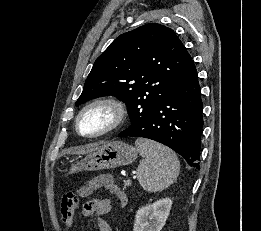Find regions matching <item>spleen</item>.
<instances>
[{"instance_id":"spleen-1","label":"spleen","mask_w":261,"mask_h":231,"mask_svg":"<svg viewBox=\"0 0 261 231\" xmlns=\"http://www.w3.org/2000/svg\"><path fill=\"white\" fill-rule=\"evenodd\" d=\"M135 146L144 158L137 168V179L148 192H157L169 187L178 177L180 163L169 148L152 140L139 138Z\"/></svg>"}]
</instances>
